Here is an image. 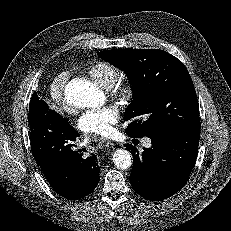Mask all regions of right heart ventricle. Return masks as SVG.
Here are the masks:
<instances>
[{"label": "right heart ventricle", "instance_id": "right-heart-ventricle-1", "mask_svg": "<svg viewBox=\"0 0 231 231\" xmlns=\"http://www.w3.org/2000/svg\"><path fill=\"white\" fill-rule=\"evenodd\" d=\"M86 72L95 83L105 89L111 87L119 77L118 69L107 62H96Z\"/></svg>", "mask_w": 231, "mask_h": 231}]
</instances>
